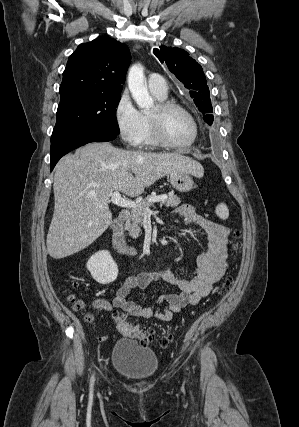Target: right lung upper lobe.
Here are the masks:
<instances>
[{
  "instance_id": "obj_1",
  "label": "right lung upper lobe",
  "mask_w": 299,
  "mask_h": 427,
  "mask_svg": "<svg viewBox=\"0 0 299 427\" xmlns=\"http://www.w3.org/2000/svg\"><path fill=\"white\" fill-rule=\"evenodd\" d=\"M130 60L128 47L108 37L80 44L63 72L61 99L79 93L120 94Z\"/></svg>"
}]
</instances>
